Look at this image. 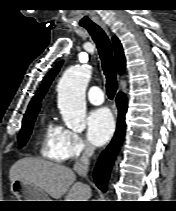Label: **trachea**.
Returning <instances> with one entry per match:
<instances>
[{
    "instance_id": "1",
    "label": "trachea",
    "mask_w": 176,
    "mask_h": 211,
    "mask_svg": "<svg viewBox=\"0 0 176 211\" xmlns=\"http://www.w3.org/2000/svg\"><path fill=\"white\" fill-rule=\"evenodd\" d=\"M92 36L99 51L102 68L106 77V90L110 99H113L117 90V76L112 55V46L106 33L98 25L85 26Z\"/></svg>"
}]
</instances>
